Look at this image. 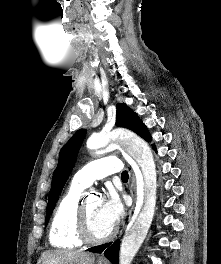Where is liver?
Returning <instances> with one entry per match:
<instances>
[{"instance_id": "liver-1", "label": "liver", "mask_w": 221, "mask_h": 264, "mask_svg": "<svg viewBox=\"0 0 221 264\" xmlns=\"http://www.w3.org/2000/svg\"><path fill=\"white\" fill-rule=\"evenodd\" d=\"M95 257L87 252L55 250L41 254L37 264H94Z\"/></svg>"}]
</instances>
